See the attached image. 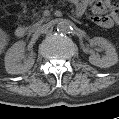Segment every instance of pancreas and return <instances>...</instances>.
I'll return each instance as SVG.
<instances>
[{
    "label": "pancreas",
    "mask_w": 119,
    "mask_h": 119,
    "mask_svg": "<svg viewBox=\"0 0 119 119\" xmlns=\"http://www.w3.org/2000/svg\"><path fill=\"white\" fill-rule=\"evenodd\" d=\"M59 4H64L63 2L59 3ZM34 16L38 19V13H34ZM44 21H46V18L42 17L39 20H37L34 24L30 25L28 27L29 31H34L40 24H42Z\"/></svg>",
    "instance_id": "cf45deb5"
}]
</instances>
